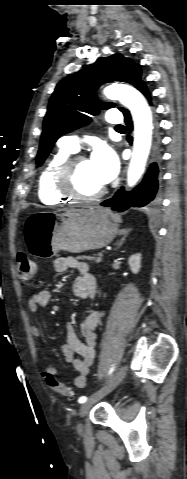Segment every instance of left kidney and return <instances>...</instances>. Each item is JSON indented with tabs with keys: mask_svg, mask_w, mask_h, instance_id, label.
Returning a JSON list of instances; mask_svg holds the SVG:
<instances>
[{
	"mask_svg": "<svg viewBox=\"0 0 187 479\" xmlns=\"http://www.w3.org/2000/svg\"><path fill=\"white\" fill-rule=\"evenodd\" d=\"M128 264L130 267V270L134 273L137 274L140 271L141 268V254L137 253L129 257L128 259Z\"/></svg>",
	"mask_w": 187,
	"mask_h": 479,
	"instance_id": "5707ae66",
	"label": "left kidney"
}]
</instances>
